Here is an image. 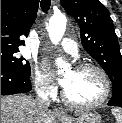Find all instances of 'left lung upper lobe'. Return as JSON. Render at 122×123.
I'll list each match as a JSON object with an SVG mask.
<instances>
[{"instance_id": "obj_1", "label": "left lung upper lobe", "mask_w": 122, "mask_h": 123, "mask_svg": "<svg viewBox=\"0 0 122 123\" xmlns=\"http://www.w3.org/2000/svg\"><path fill=\"white\" fill-rule=\"evenodd\" d=\"M80 27L87 53L105 70L113 84V94L122 92V56L109 11L99 0H61Z\"/></svg>"}]
</instances>
